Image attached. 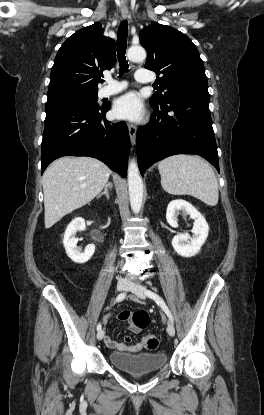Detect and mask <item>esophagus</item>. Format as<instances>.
<instances>
[{
	"label": "esophagus",
	"instance_id": "34e87169",
	"mask_svg": "<svg viewBox=\"0 0 264 415\" xmlns=\"http://www.w3.org/2000/svg\"><path fill=\"white\" fill-rule=\"evenodd\" d=\"M122 17L127 18L128 17V11L122 12ZM128 130H129V136L131 144L134 145L136 141V133H137V127L133 123L128 124Z\"/></svg>",
	"mask_w": 264,
	"mask_h": 415
}]
</instances>
